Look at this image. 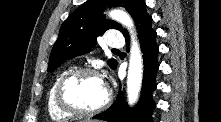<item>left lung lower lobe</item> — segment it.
I'll return each instance as SVG.
<instances>
[{"label":"left lung lower lobe","mask_w":221,"mask_h":122,"mask_svg":"<svg viewBox=\"0 0 221 122\" xmlns=\"http://www.w3.org/2000/svg\"><path fill=\"white\" fill-rule=\"evenodd\" d=\"M132 17L137 26L144 61L140 101L138 106L129 109L124 101V95L120 87L115 102L105 112L94 116V119H101L108 122H153L151 114L155 109V103L152 99V92L156 89L155 76L159 69L157 62L159 51L156 44L157 34L151 27L152 17L146 12V4L143 0H138L135 4ZM123 35L126 38L127 44H129L127 31H124Z\"/></svg>","instance_id":"obj_1"}]
</instances>
